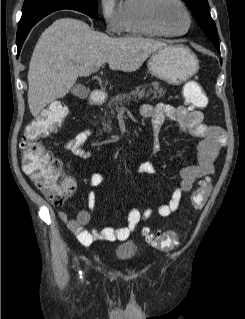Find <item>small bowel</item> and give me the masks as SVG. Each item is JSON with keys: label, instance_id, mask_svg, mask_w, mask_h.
Returning <instances> with one entry per match:
<instances>
[{"label": "small bowel", "instance_id": "c3829d8e", "mask_svg": "<svg viewBox=\"0 0 245 319\" xmlns=\"http://www.w3.org/2000/svg\"><path fill=\"white\" fill-rule=\"evenodd\" d=\"M140 112L142 117L151 120L154 134L160 130L166 121H172L183 133L199 140L197 163L182 169L180 184L171 188L170 200L158 208V214L167 217L177 211L182 195L191 191L197 180L212 174L219 150L225 144V132L217 126L204 124L203 114L199 110L184 105L172 106L159 103L153 106L144 104ZM91 137V130H82L69 139L64 148L77 157H87L88 153L83 149V145ZM138 171L144 174H154L155 168L152 164H142ZM104 180L105 177L102 173H93L88 182L91 187H98L103 184ZM95 207L96 196L93 191H90L88 193L87 210L80 211L72 219H69L65 211L59 212V218L67 224L70 231L85 246L98 241H124L129 238L140 223L151 218L153 214V210L150 208L141 210L138 207H132L128 214V224L125 227H106L101 230L87 229L86 225L90 221L91 212Z\"/></svg>", "mask_w": 245, "mask_h": 319}]
</instances>
